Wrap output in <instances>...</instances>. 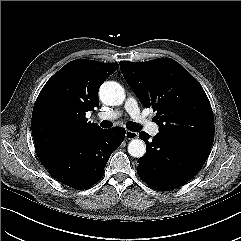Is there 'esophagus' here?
<instances>
[{
  "instance_id": "esophagus-1",
  "label": "esophagus",
  "mask_w": 241,
  "mask_h": 241,
  "mask_svg": "<svg viewBox=\"0 0 241 241\" xmlns=\"http://www.w3.org/2000/svg\"><path fill=\"white\" fill-rule=\"evenodd\" d=\"M125 137L129 140L138 138V133L130 130H126Z\"/></svg>"
}]
</instances>
